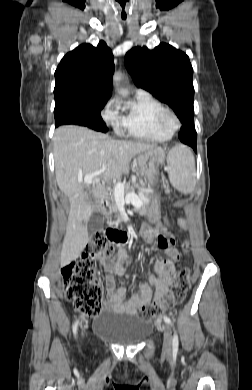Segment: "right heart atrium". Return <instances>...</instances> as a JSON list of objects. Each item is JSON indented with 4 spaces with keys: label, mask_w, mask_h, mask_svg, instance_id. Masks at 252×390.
<instances>
[{
    "label": "right heart atrium",
    "mask_w": 252,
    "mask_h": 390,
    "mask_svg": "<svg viewBox=\"0 0 252 390\" xmlns=\"http://www.w3.org/2000/svg\"><path fill=\"white\" fill-rule=\"evenodd\" d=\"M101 116L106 123L112 125L116 130L119 129L121 116L116 100L111 99L107 102L101 112Z\"/></svg>",
    "instance_id": "1"
}]
</instances>
